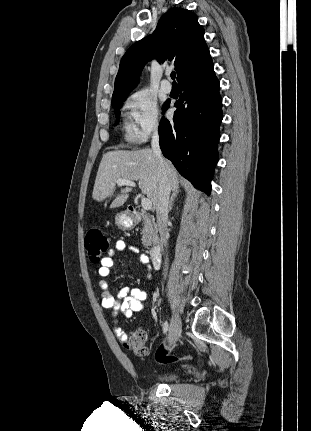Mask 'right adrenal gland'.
<instances>
[{"label":"right adrenal gland","instance_id":"2a0ac1e0","mask_svg":"<svg viewBox=\"0 0 311 431\" xmlns=\"http://www.w3.org/2000/svg\"><path fill=\"white\" fill-rule=\"evenodd\" d=\"M175 198H177V194H172V196L169 200V212H171V210L173 208V202H174Z\"/></svg>","mask_w":311,"mask_h":431}]
</instances>
